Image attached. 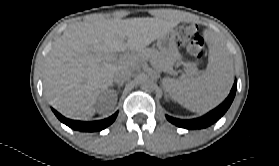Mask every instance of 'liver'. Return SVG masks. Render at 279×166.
Returning <instances> with one entry per match:
<instances>
[{
	"label": "liver",
	"mask_w": 279,
	"mask_h": 166,
	"mask_svg": "<svg viewBox=\"0 0 279 166\" xmlns=\"http://www.w3.org/2000/svg\"><path fill=\"white\" fill-rule=\"evenodd\" d=\"M179 23L176 11L160 18H105L93 15L69 26L56 40L46 59L45 95L68 118L92 117L97 96L112 85L115 72L129 67L108 62L107 55L142 51Z\"/></svg>",
	"instance_id": "liver-1"
}]
</instances>
